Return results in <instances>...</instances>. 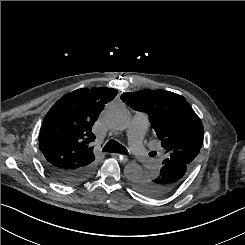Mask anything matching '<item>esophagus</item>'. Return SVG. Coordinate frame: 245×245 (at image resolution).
<instances>
[{
	"label": "esophagus",
	"instance_id": "esophagus-1",
	"mask_svg": "<svg viewBox=\"0 0 245 245\" xmlns=\"http://www.w3.org/2000/svg\"><path fill=\"white\" fill-rule=\"evenodd\" d=\"M111 156H112V157H118V158H120V160H121L122 162H127V161H128V158H127L126 156H123V155H121V154H119V153L113 152V153H111Z\"/></svg>",
	"mask_w": 245,
	"mask_h": 245
}]
</instances>
